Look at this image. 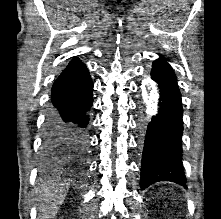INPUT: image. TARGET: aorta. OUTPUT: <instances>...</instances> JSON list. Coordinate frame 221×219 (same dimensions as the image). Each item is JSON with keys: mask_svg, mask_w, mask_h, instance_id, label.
<instances>
[{"mask_svg": "<svg viewBox=\"0 0 221 219\" xmlns=\"http://www.w3.org/2000/svg\"><path fill=\"white\" fill-rule=\"evenodd\" d=\"M146 105H147V108H150V102L149 101H147Z\"/></svg>", "mask_w": 221, "mask_h": 219, "instance_id": "1", "label": "aorta"}]
</instances>
